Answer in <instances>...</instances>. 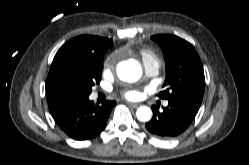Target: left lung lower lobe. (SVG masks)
I'll return each instance as SVG.
<instances>
[{
  "label": "left lung lower lobe",
  "mask_w": 249,
  "mask_h": 165,
  "mask_svg": "<svg viewBox=\"0 0 249 165\" xmlns=\"http://www.w3.org/2000/svg\"><path fill=\"white\" fill-rule=\"evenodd\" d=\"M169 105L159 111L153 106V117L145 124L152 135L170 139L183 133L194 120L200 105L185 100H169Z\"/></svg>",
  "instance_id": "left-lung-lower-lobe-1"
}]
</instances>
